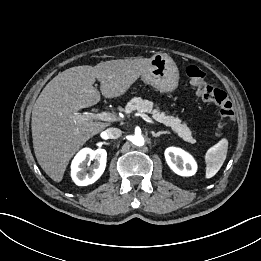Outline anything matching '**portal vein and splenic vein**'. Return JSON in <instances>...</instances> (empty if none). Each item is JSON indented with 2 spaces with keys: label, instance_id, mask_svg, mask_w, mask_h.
I'll list each match as a JSON object with an SVG mask.
<instances>
[{
  "label": "portal vein and splenic vein",
  "instance_id": "portal-vein-and-splenic-vein-1",
  "mask_svg": "<svg viewBox=\"0 0 261 261\" xmlns=\"http://www.w3.org/2000/svg\"><path fill=\"white\" fill-rule=\"evenodd\" d=\"M140 116L148 123L155 124V122L148 115L141 113ZM74 122L80 123L89 120H102L107 122H114L117 120L116 116L108 112L89 113V114H75L72 116Z\"/></svg>",
  "mask_w": 261,
  "mask_h": 261
}]
</instances>
